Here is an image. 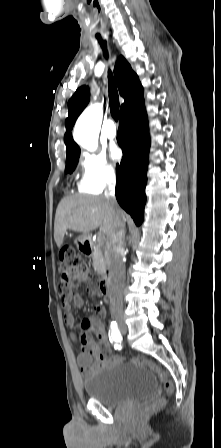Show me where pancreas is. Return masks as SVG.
<instances>
[{
	"label": "pancreas",
	"instance_id": "obj_1",
	"mask_svg": "<svg viewBox=\"0 0 221 448\" xmlns=\"http://www.w3.org/2000/svg\"><path fill=\"white\" fill-rule=\"evenodd\" d=\"M108 263V249L103 243H98L95 246L93 253V267L98 272L105 271Z\"/></svg>",
	"mask_w": 221,
	"mask_h": 448
}]
</instances>
